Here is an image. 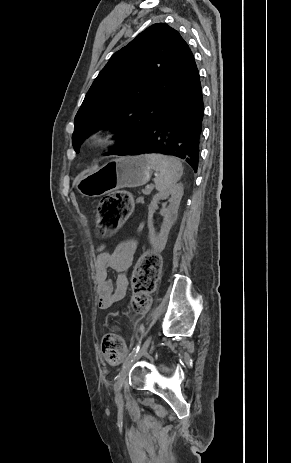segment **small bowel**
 <instances>
[{
	"label": "small bowel",
	"instance_id": "1",
	"mask_svg": "<svg viewBox=\"0 0 291 463\" xmlns=\"http://www.w3.org/2000/svg\"><path fill=\"white\" fill-rule=\"evenodd\" d=\"M137 248L135 240L119 243L113 252L100 248L94 258V284L98 296V308L105 310L123 299L128 290V272ZM113 269L117 278L113 282L108 270Z\"/></svg>",
	"mask_w": 291,
	"mask_h": 463
}]
</instances>
